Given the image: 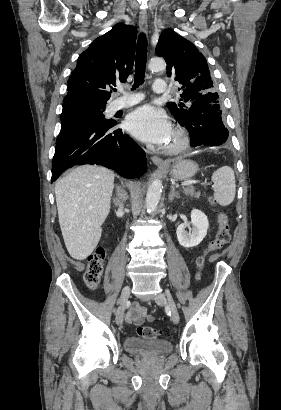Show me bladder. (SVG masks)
Masks as SVG:
<instances>
[{
  "label": "bladder",
  "mask_w": 281,
  "mask_h": 410,
  "mask_svg": "<svg viewBox=\"0 0 281 410\" xmlns=\"http://www.w3.org/2000/svg\"><path fill=\"white\" fill-rule=\"evenodd\" d=\"M127 353L143 358H158L172 351V343L167 340L127 337L124 340Z\"/></svg>",
  "instance_id": "31cf9c89"
}]
</instances>
